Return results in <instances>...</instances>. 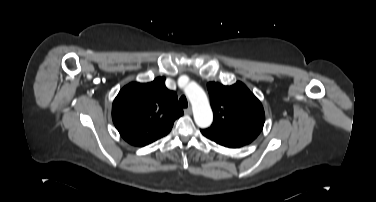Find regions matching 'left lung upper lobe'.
Here are the masks:
<instances>
[{"mask_svg": "<svg viewBox=\"0 0 376 202\" xmlns=\"http://www.w3.org/2000/svg\"><path fill=\"white\" fill-rule=\"evenodd\" d=\"M214 113L207 130L245 144L251 143L261 132L265 114L260 101L241 82L224 86L207 84Z\"/></svg>", "mask_w": 376, "mask_h": 202, "instance_id": "5c2ea615", "label": "left lung upper lobe"}]
</instances>
